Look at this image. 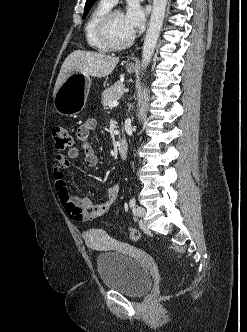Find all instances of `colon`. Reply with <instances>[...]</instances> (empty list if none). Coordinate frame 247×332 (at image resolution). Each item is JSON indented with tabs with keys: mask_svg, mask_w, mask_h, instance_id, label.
Segmentation results:
<instances>
[{
	"mask_svg": "<svg viewBox=\"0 0 247 332\" xmlns=\"http://www.w3.org/2000/svg\"><path fill=\"white\" fill-rule=\"evenodd\" d=\"M52 138H53L55 148L57 150H65V149L69 148L73 143L72 137L69 134L67 128L62 125H56L53 127ZM127 236L133 242H137L140 239L139 231L134 228H130L127 231Z\"/></svg>",
	"mask_w": 247,
	"mask_h": 332,
	"instance_id": "obj_1",
	"label": "colon"
}]
</instances>
